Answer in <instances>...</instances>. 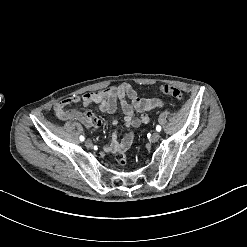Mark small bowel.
Returning a JSON list of instances; mask_svg holds the SVG:
<instances>
[{
	"label": "small bowel",
	"instance_id": "c3829d8e",
	"mask_svg": "<svg viewBox=\"0 0 247 247\" xmlns=\"http://www.w3.org/2000/svg\"><path fill=\"white\" fill-rule=\"evenodd\" d=\"M81 102L84 106H97L102 112L113 114L117 110L118 104L123 112L124 125L131 129L139 128L142 125L149 124L151 117L149 111L162 108L164 103L157 98H142L137 90L129 83H121L106 89L83 94L80 97H70L59 101L55 105V113L61 120H78L87 127L99 126L101 122L89 111L81 112L79 110H67L66 107ZM141 113L140 117L135 115ZM114 126L119 124L118 119L112 121ZM135 134L133 131L128 132L121 141L118 133H112L110 142L105 146L107 152L117 153L116 162L125 166L129 162L124 158V151L131 147Z\"/></svg>",
	"mask_w": 247,
	"mask_h": 247
}]
</instances>
